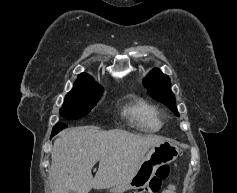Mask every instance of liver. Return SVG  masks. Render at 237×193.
Returning a JSON list of instances; mask_svg holds the SVG:
<instances>
[{
    "mask_svg": "<svg viewBox=\"0 0 237 193\" xmlns=\"http://www.w3.org/2000/svg\"><path fill=\"white\" fill-rule=\"evenodd\" d=\"M164 139L125 130H100L95 126L73 127L54 141L51 152L52 193H88L129 181L146 152ZM99 161L98 171L92 168Z\"/></svg>",
    "mask_w": 237,
    "mask_h": 193,
    "instance_id": "1",
    "label": "liver"
}]
</instances>
